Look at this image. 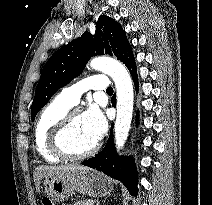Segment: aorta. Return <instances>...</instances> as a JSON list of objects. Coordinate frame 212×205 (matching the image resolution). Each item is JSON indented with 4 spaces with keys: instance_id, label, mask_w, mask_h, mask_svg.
Listing matches in <instances>:
<instances>
[{
    "instance_id": "762f6f07",
    "label": "aorta",
    "mask_w": 212,
    "mask_h": 205,
    "mask_svg": "<svg viewBox=\"0 0 212 205\" xmlns=\"http://www.w3.org/2000/svg\"><path fill=\"white\" fill-rule=\"evenodd\" d=\"M90 66L108 74L114 81L117 95V116L115 121V145L121 150L128 138L132 113L134 92L133 84L127 69L117 60L109 57H96Z\"/></svg>"
}]
</instances>
